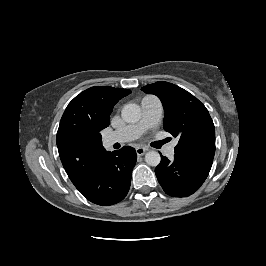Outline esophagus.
Here are the masks:
<instances>
[{"label": "esophagus", "instance_id": "esophagus-1", "mask_svg": "<svg viewBox=\"0 0 266 266\" xmlns=\"http://www.w3.org/2000/svg\"><path fill=\"white\" fill-rule=\"evenodd\" d=\"M146 151H147V148H144V147H140L139 146V147L136 148V154L138 156L144 155L146 153Z\"/></svg>", "mask_w": 266, "mask_h": 266}]
</instances>
